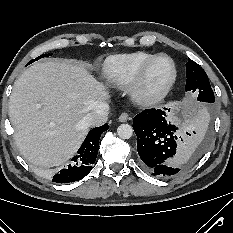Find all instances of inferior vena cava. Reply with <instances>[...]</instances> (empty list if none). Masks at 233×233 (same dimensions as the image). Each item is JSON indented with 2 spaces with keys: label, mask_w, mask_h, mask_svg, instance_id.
I'll use <instances>...</instances> for the list:
<instances>
[{
  "label": "inferior vena cava",
  "mask_w": 233,
  "mask_h": 233,
  "mask_svg": "<svg viewBox=\"0 0 233 233\" xmlns=\"http://www.w3.org/2000/svg\"><path fill=\"white\" fill-rule=\"evenodd\" d=\"M110 107L106 103H100L95 111L89 113L85 120L89 126L97 127L103 125L107 119L109 114Z\"/></svg>",
  "instance_id": "inferior-vena-cava-1"
}]
</instances>
